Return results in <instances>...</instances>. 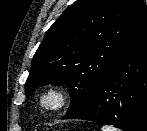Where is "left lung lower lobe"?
I'll use <instances>...</instances> for the list:
<instances>
[{
    "label": "left lung lower lobe",
    "instance_id": "obj_1",
    "mask_svg": "<svg viewBox=\"0 0 147 131\" xmlns=\"http://www.w3.org/2000/svg\"><path fill=\"white\" fill-rule=\"evenodd\" d=\"M68 118L147 131V40L118 59L88 102L63 119Z\"/></svg>",
    "mask_w": 147,
    "mask_h": 131
}]
</instances>
